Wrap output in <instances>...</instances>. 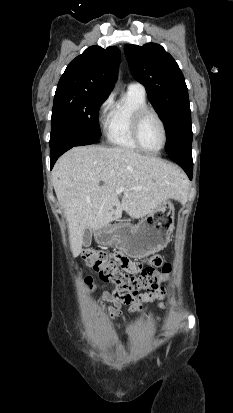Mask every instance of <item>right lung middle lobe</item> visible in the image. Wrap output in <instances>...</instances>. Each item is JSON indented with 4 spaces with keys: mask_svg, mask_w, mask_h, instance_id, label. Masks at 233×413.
Returning a JSON list of instances; mask_svg holds the SVG:
<instances>
[{
    "mask_svg": "<svg viewBox=\"0 0 233 413\" xmlns=\"http://www.w3.org/2000/svg\"><path fill=\"white\" fill-rule=\"evenodd\" d=\"M108 95L76 89H57L51 118L50 144L61 138L97 140L98 111Z\"/></svg>",
    "mask_w": 233,
    "mask_h": 413,
    "instance_id": "right-lung-middle-lobe-1",
    "label": "right lung middle lobe"
}]
</instances>
